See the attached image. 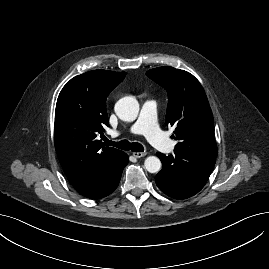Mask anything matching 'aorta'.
<instances>
[{
    "label": "aorta",
    "mask_w": 269,
    "mask_h": 269,
    "mask_svg": "<svg viewBox=\"0 0 269 269\" xmlns=\"http://www.w3.org/2000/svg\"><path fill=\"white\" fill-rule=\"evenodd\" d=\"M116 115L123 121H134L139 113V103L136 98L126 96L121 98L115 105ZM145 169L150 173H157L161 169V161L156 156H149L144 162Z\"/></svg>",
    "instance_id": "1"
}]
</instances>
